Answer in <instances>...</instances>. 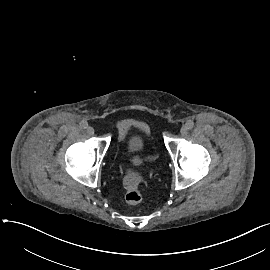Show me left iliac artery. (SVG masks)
<instances>
[{
    "label": "left iliac artery",
    "mask_w": 270,
    "mask_h": 270,
    "mask_svg": "<svg viewBox=\"0 0 270 270\" xmlns=\"http://www.w3.org/2000/svg\"><path fill=\"white\" fill-rule=\"evenodd\" d=\"M185 125H186L188 130H190L194 127V123L191 120L187 121Z\"/></svg>",
    "instance_id": "left-iliac-artery-1"
}]
</instances>
